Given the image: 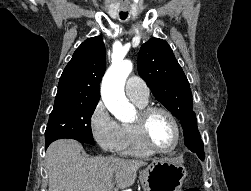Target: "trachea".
<instances>
[{
	"mask_svg": "<svg viewBox=\"0 0 251 191\" xmlns=\"http://www.w3.org/2000/svg\"><path fill=\"white\" fill-rule=\"evenodd\" d=\"M120 18H121L122 20H125V19L127 18V15H120Z\"/></svg>",
	"mask_w": 251,
	"mask_h": 191,
	"instance_id": "3493384b",
	"label": "trachea"
}]
</instances>
